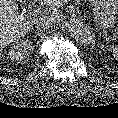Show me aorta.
I'll list each match as a JSON object with an SVG mask.
<instances>
[{"label": "aorta", "instance_id": "762f6f07", "mask_svg": "<svg viewBox=\"0 0 118 118\" xmlns=\"http://www.w3.org/2000/svg\"><path fill=\"white\" fill-rule=\"evenodd\" d=\"M67 29L76 40L83 44H92L94 42L91 31L80 21L70 20L67 23Z\"/></svg>", "mask_w": 118, "mask_h": 118}]
</instances>
